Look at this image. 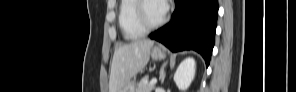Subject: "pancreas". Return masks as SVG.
Segmentation results:
<instances>
[{"label":"pancreas","mask_w":296,"mask_h":92,"mask_svg":"<svg viewBox=\"0 0 296 92\" xmlns=\"http://www.w3.org/2000/svg\"><path fill=\"white\" fill-rule=\"evenodd\" d=\"M153 89L154 85H151L148 81V77L145 76L139 82L136 92H152Z\"/></svg>","instance_id":"cf45deb5"}]
</instances>
